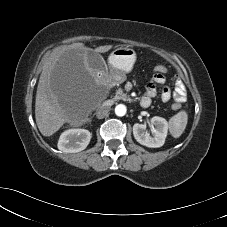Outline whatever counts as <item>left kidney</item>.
Listing matches in <instances>:
<instances>
[{"label": "left kidney", "instance_id": "obj_1", "mask_svg": "<svg viewBox=\"0 0 227 227\" xmlns=\"http://www.w3.org/2000/svg\"><path fill=\"white\" fill-rule=\"evenodd\" d=\"M154 125L153 136L145 131L146 125L136 123L133 125V135L138 143L150 148H158L164 145L168 132V122L162 117L155 116L151 119Z\"/></svg>", "mask_w": 227, "mask_h": 227}]
</instances>
